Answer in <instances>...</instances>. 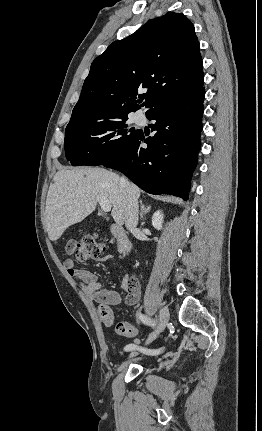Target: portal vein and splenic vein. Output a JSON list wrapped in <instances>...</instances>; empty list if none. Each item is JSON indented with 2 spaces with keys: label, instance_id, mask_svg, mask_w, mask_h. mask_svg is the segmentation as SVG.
Returning a JSON list of instances; mask_svg holds the SVG:
<instances>
[{
  "label": "portal vein and splenic vein",
  "instance_id": "1",
  "mask_svg": "<svg viewBox=\"0 0 262 431\" xmlns=\"http://www.w3.org/2000/svg\"><path fill=\"white\" fill-rule=\"evenodd\" d=\"M97 200H98L103 212H110L112 205H111V202L109 200H107L106 198L101 197V196H98Z\"/></svg>",
  "mask_w": 262,
  "mask_h": 431
}]
</instances>
